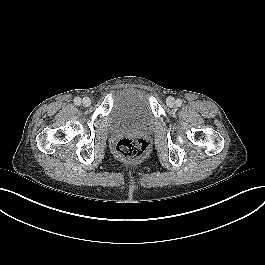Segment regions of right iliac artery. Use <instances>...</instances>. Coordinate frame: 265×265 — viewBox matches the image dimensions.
<instances>
[{
    "label": "right iliac artery",
    "instance_id": "obj_1",
    "mask_svg": "<svg viewBox=\"0 0 265 265\" xmlns=\"http://www.w3.org/2000/svg\"><path fill=\"white\" fill-rule=\"evenodd\" d=\"M74 103H75L76 105H80V104H81V99H80L79 97H76V98L74 99Z\"/></svg>",
    "mask_w": 265,
    "mask_h": 265
}]
</instances>
